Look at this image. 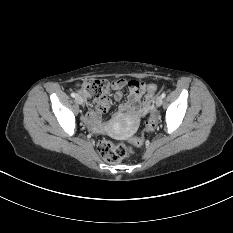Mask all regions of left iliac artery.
I'll use <instances>...</instances> for the list:
<instances>
[{
    "label": "left iliac artery",
    "instance_id": "left-iliac-artery-1",
    "mask_svg": "<svg viewBox=\"0 0 233 233\" xmlns=\"http://www.w3.org/2000/svg\"><path fill=\"white\" fill-rule=\"evenodd\" d=\"M165 96H166V94L163 92V93L161 94V97L164 98Z\"/></svg>",
    "mask_w": 233,
    "mask_h": 233
}]
</instances>
